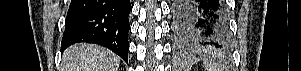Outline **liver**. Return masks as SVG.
I'll use <instances>...</instances> for the list:
<instances>
[{
  "label": "liver",
  "mask_w": 301,
  "mask_h": 71,
  "mask_svg": "<svg viewBox=\"0 0 301 71\" xmlns=\"http://www.w3.org/2000/svg\"><path fill=\"white\" fill-rule=\"evenodd\" d=\"M120 58L94 44H75L62 58V71H118Z\"/></svg>",
  "instance_id": "1"
}]
</instances>
